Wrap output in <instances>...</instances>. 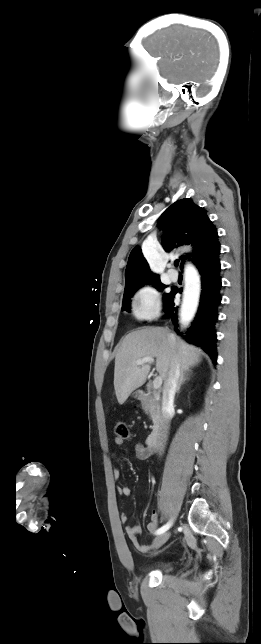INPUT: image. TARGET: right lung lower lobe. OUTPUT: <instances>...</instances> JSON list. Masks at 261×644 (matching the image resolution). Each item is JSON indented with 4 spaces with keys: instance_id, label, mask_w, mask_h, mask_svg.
Instances as JSON below:
<instances>
[{
    "instance_id": "98d812e1",
    "label": "right lung lower lobe",
    "mask_w": 261,
    "mask_h": 644,
    "mask_svg": "<svg viewBox=\"0 0 261 644\" xmlns=\"http://www.w3.org/2000/svg\"><path fill=\"white\" fill-rule=\"evenodd\" d=\"M197 267L201 274L202 283L200 305L185 336L178 329V309L174 303L175 294L177 292L181 293V290L178 291L177 288H174V294L165 306L164 312H166L167 317L171 318L175 327L174 330L178 334L183 336L189 343L201 347L208 353L212 361L216 362L217 337L215 325L218 319V306L221 303L220 261L217 258L209 263H200Z\"/></svg>"
}]
</instances>
